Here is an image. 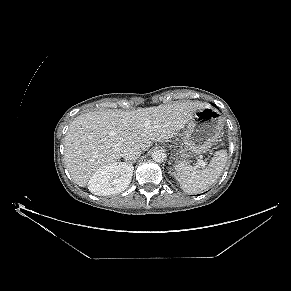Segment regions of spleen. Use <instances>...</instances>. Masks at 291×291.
<instances>
[{"label": "spleen", "instance_id": "spleen-1", "mask_svg": "<svg viewBox=\"0 0 291 291\" xmlns=\"http://www.w3.org/2000/svg\"><path fill=\"white\" fill-rule=\"evenodd\" d=\"M227 163V151H217L206 168L199 169L186 161L175 164L177 180L187 194H198L210 188L221 176Z\"/></svg>", "mask_w": 291, "mask_h": 291}]
</instances>
